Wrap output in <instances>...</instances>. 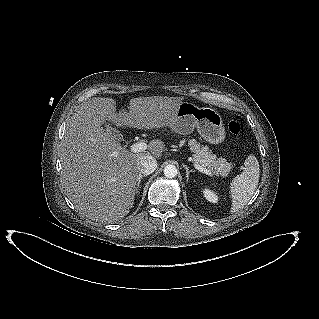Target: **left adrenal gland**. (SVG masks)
I'll return each instance as SVG.
<instances>
[{"label":"left adrenal gland","mask_w":319,"mask_h":319,"mask_svg":"<svg viewBox=\"0 0 319 319\" xmlns=\"http://www.w3.org/2000/svg\"><path fill=\"white\" fill-rule=\"evenodd\" d=\"M183 167L185 168L186 170V178H187V181L189 180V174L190 173H194L195 171L194 170H189V168L187 167V165H183Z\"/></svg>","instance_id":"obj_1"}]
</instances>
